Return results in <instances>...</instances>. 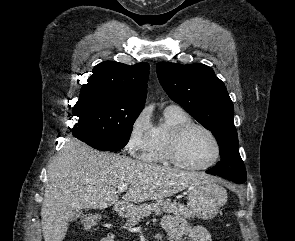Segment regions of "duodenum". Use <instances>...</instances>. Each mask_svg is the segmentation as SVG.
Segmentation results:
<instances>
[{
    "label": "duodenum",
    "mask_w": 295,
    "mask_h": 241,
    "mask_svg": "<svg viewBox=\"0 0 295 241\" xmlns=\"http://www.w3.org/2000/svg\"><path fill=\"white\" fill-rule=\"evenodd\" d=\"M114 211L117 215H123L126 211V205L122 202L116 203L114 205Z\"/></svg>",
    "instance_id": "410a0bca"
}]
</instances>
